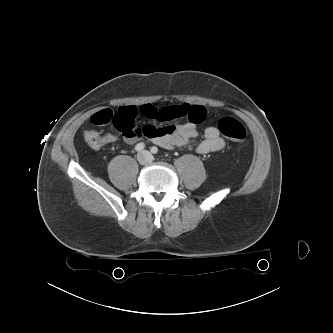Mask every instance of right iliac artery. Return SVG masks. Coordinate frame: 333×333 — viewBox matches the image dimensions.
Here are the masks:
<instances>
[{"label":"right iliac artery","instance_id":"1","mask_svg":"<svg viewBox=\"0 0 333 333\" xmlns=\"http://www.w3.org/2000/svg\"><path fill=\"white\" fill-rule=\"evenodd\" d=\"M144 148H145V144L144 143H138L135 146V150L138 151V152L142 151Z\"/></svg>","mask_w":333,"mask_h":333}]
</instances>
